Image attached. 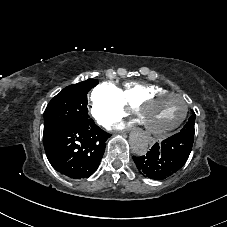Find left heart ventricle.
<instances>
[{"label": "left heart ventricle", "instance_id": "b2bd125f", "mask_svg": "<svg viewBox=\"0 0 227 227\" xmlns=\"http://www.w3.org/2000/svg\"><path fill=\"white\" fill-rule=\"evenodd\" d=\"M184 107V101L178 96H161L140 109L139 124L145 129H167L179 120Z\"/></svg>", "mask_w": 227, "mask_h": 227}]
</instances>
